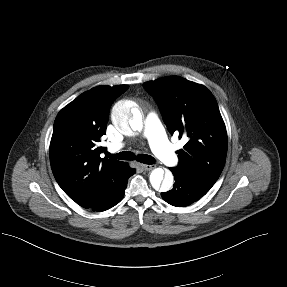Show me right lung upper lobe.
<instances>
[{
	"instance_id": "obj_1",
	"label": "right lung upper lobe",
	"mask_w": 287,
	"mask_h": 287,
	"mask_svg": "<svg viewBox=\"0 0 287 287\" xmlns=\"http://www.w3.org/2000/svg\"><path fill=\"white\" fill-rule=\"evenodd\" d=\"M128 85L99 86L82 93L57 115L50 143V163L59 186L77 204L89 208L102 200L128 165L100 158L113 101Z\"/></svg>"
}]
</instances>
